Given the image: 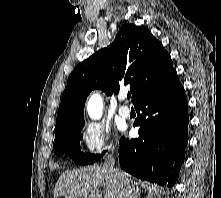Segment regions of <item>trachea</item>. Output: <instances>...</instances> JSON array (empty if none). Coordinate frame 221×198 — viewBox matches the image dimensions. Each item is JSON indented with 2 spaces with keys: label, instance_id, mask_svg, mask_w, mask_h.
Here are the masks:
<instances>
[{
  "label": "trachea",
  "instance_id": "trachea-1",
  "mask_svg": "<svg viewBox=\"0 0 221 198\" xmlns=\"http://www.w3.org/2000/svg\"><path fill=\"white\" fill-rule=\"evenodd\" d=\"M131 97V94H127V98H130Z\"/></svg>",
  "mask_w": 221,
  "mask_h": 198
}]
</instances>
